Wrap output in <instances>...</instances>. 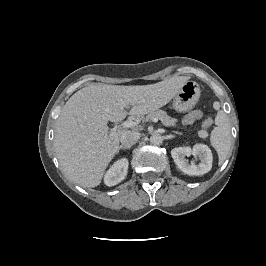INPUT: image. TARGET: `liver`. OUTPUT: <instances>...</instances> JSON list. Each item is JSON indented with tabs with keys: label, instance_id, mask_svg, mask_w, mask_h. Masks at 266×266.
I'll list each match as a JSON object with an SVG mask.
<instances>
[{
	"label": "liver",
	"instance_id": "obj_1",
	"mask_svg": "<svg viewBox=\"0 0 266 266\" xmlns=\"http://www.w3.org/2000/svg\"><path fill=\"white\" fill-rule=\"evenodd\" d=\"M188 80L166 78L151 85L93 83L73 94L57 119L54 148L65 176L83 187H96L119 148L125 130L109 133L108 121L142 116L166 105ZM131 106L126 112L125 108Z\"/></svg>",
	"mask_w": 266,
	"mask_h": 266
}]
</instances>
